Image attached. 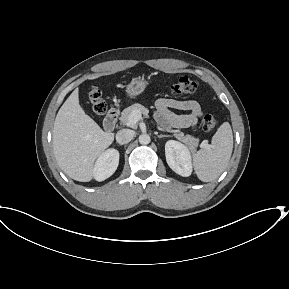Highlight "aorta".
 Listing matches in <instances>:
<instances>
[{
    "mask_svg": "<svg viewBox=\"0 0 289 289\" xmlns=\"http://www.w3.org/2000/svg\"><path fill=\"white\" fill-rule=\"evenodd\" d=\"M151 141L150 136L148 134H141L139 136V143L142 145H147Z\"/></svg>",
    "mask_w": 289,
    "mask_h": 289,
    "instance_id": "1",
    "label": "aorta"
}]
</instances>
